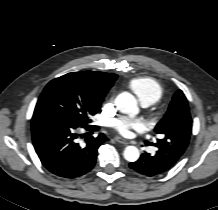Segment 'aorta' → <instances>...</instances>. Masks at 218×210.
Wrapping results in <instances>:
<instances>
[{"label":"aorta","mask_w":218,"mask_h":210,"mask_svg":"<svg viewBox=\"0 0 218 210\" xmlns=\"http://www.w3.org/2000/svg\"><path fill=\"white\" fill-rule=\"evenodd\" d=\"M115 104L122 113L128 114L131 117H134L139 112L135 97L128 92L119 94ZM123 155L127 161L135 162L139 159L140 153L135 146H127Z\"/></svg>","instance_id":"aorta-1"}]
</instances>
